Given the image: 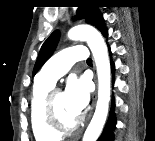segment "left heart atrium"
Returning a JSON list of instances; mask_svg holds the SVG:
<instances>
[{
	"label": "left heart atrium",
	"instance_id": "left-heart-atrium-1",
	"mask_svg": "<svg viewBox=\"0 0 155 141\" xmlns=\"http://www.w3.org/2000/svg\"><path fill=\"white\" fill-rule=\"evenodd\" d=\"M64 97L70 109L79 116L89 102L88 83L85 79L72 78L67 82Z\"/></svg>",
	"mask_w": 155,
	"mask_h": 141
}]
</instances>
